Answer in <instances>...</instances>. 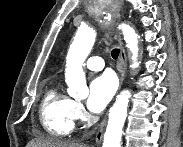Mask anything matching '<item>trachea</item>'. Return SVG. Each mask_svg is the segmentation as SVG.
Returning a JSON list of instances; mask_svg holds the SVG:
<instances>
[{"label": "trachea", "mask_w": 183, "mask_h": 147, "mask_svg": "<svg viewBox=\"0 0 183 147\" xmlns=\"http://www.w3.org/2000/svg\"><path fill=\"white\" fill-rule=\"evenodd\" d=\"M119 53H120V50L119 49H117V48L113 49L112 52H111L112 58L113 59H117L118 56H119Z\"/></svg>", "instance_id": "1"}]
</instances>
